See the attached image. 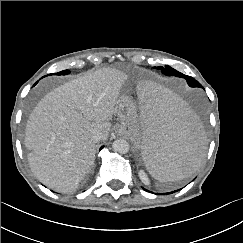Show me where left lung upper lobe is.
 <instances>
[{
  "label": "left lung upper lobe",
  "instance_id": "left-lung-upper-lobe-1",
  "mask_svg": "<svg viewBox=\"0 0 243 243\" xmlns=\"http://www.w3.org/2000/svg\"><path fill=\"white\" fill-rule=\"evenodd\" d=\"M157 69L161 70L163 74L168 76L172 75V76L185 78L188 84L191 85L192 87H202L201 84L198 81H196L194 78L184 75L178 72L177 70L171 68L168 65H166L165 67H157Z\"/></svg>",
  "mask_w": 243,
  "mask_h": 243
}]
</instances>
